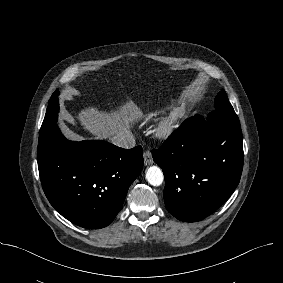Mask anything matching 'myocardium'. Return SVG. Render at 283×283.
Segmentation results:
<instances>
[{"label":"myocardium","mask_w":283,"mask_h":283,"mask_svg":"<svg viewBox=\"0 0 283 283\" xmlns=\"http://www.w3.org/2000/svg\"><path fill=\"white\" fill-rule=\"evenodd\" d=\"M184 113V106H178L171 109L156 123L154 127V135L159 139H165L169 137L178 127V124L182 119Z\"/></svg>","instance_id":"f54148a6"}]
</instances>
